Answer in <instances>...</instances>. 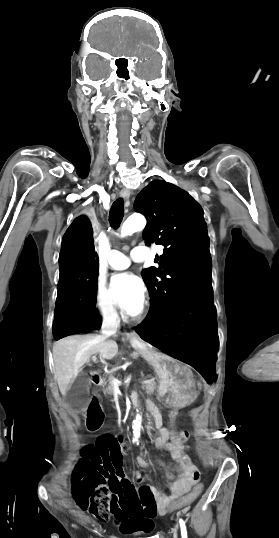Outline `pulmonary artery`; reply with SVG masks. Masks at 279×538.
<instances>
[{
	"label": "pulmonary artery",
	"instance_id": "1",
	"mask_svg": "<svg viewBox=\"0 0 279 538\" xmlns=\"http://www.w3.org/2000/svg\"><path fill=\"white\" fill-rule=\"evenodd\" d=\"M131 260L135 262H141L143 259L140 257L131 258L130 255L125 254L118 250H110L106 265L113 270H123L130 266Z\"/></svg>",
	"mask_w": 279,
	"mask_h": 538
}]
</instances>
